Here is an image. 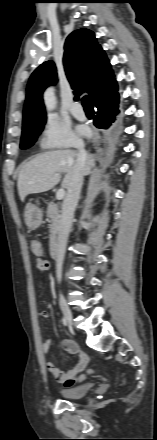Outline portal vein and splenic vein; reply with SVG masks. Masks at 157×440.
Masks as SVG:
<instances>
[{
    "mask_svg": "<svg viewBox=\"0 0 157 440\" xmlns=\"http://www.w3.org/2000/svg\"><path fill=\"white\" fill-rule=\"evenodd\" d=\"M65 196V190L64 189H59L56 193V199L57 200H62Z\"/></svg>",
    "mask_w": 157,
    "mask_h": 440,
    "instance_id": "18ae733b",
    "label": "portal vein and splenic vein"
}]
</instances>
